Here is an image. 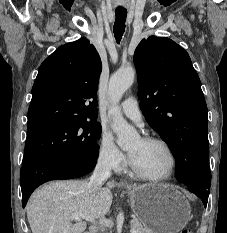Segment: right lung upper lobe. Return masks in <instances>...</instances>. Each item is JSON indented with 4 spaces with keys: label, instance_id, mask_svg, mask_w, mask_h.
<instances>
[{
    "label": "right lung upper lobe",
    "instance_id": "1",
    "mask_svg": "<svg viewBox=\"0 0 227 233\" xmlns=\"http://www.w3.org/2000/svg\"><path fill=\"white\" fill-rule=\"evenodd\" d=\"M101 69L100 56L86 38L56 49L38 70L27 134L77 120H95Z\"/></svg>",
    "mask_w": 227,
    "mask_h": 233
}]
</instances>
